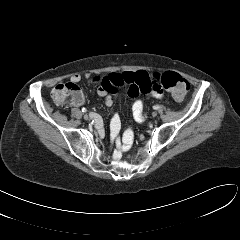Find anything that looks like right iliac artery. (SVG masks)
Masks as SVG:
<instances>
[{
  "label": "right iliac artery",
  "mask_w": 240,
  "mask_h": 240,
  "mask_svg": "<svg viewBox=\"0 0 240 240\" xmlns=\"http://www.w3.org/2000/svg\"><path fill=\"white\" fill-rule=\"evenodd\" d=\"M82 112L83 113L87 112L86 108H82Z\"/></svg>",
  "instance_id": "82829eb1"
}]
</instances>
